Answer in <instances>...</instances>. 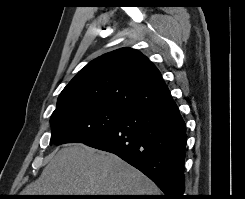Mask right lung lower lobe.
<instances>
[{
  "label": "right lung lower lobe",
  "instance_id": "obj_1",
  "mask_svg": "<svg viewBox=\"0 0 245 199\" xmlns=\"http://www.w3.org/2000/svg\"><path fill=\"white\" fill-rule=\"evenodd\" d=\"M84 144L116 154L148 176L163 199H182L186 125L171 95L130 111Z\"/></svg>",
  "mask_w": 245,
  "mask_h": 199
}]
</instances>
